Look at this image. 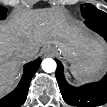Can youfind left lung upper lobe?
<instances>
[{
    "instance_id": "5c2ea615",
    "label": "left lung upper lobe",
    "mask_w": 107,
    "mask_h": 107,
    "mask_svg": "<svg viewBox=\"0 0 107 107\" xmlns=\"http://www.w3.org/2000/svg\"><path fill=\"white\" fill-rule=\"evenodd\" d=\"M105 12L98 10L91 4H85L81 6V14L85 19L104 14Z\"/></svg>"
}]
</instances>
